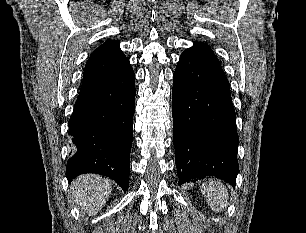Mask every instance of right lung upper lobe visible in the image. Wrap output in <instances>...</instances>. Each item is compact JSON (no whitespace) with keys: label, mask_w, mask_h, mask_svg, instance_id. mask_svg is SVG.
I'll use <instances>...</instances> for the list:
<instances>
[{"label":"right lung upper lobe","mask_w":306,"mask_h":233,"mask_svg":"<svg viewBox=\"0 0 306 233\" xmlns=\"http://www.w3.org/2000/svg\"><path fill=\"white\" fill-rule=\"evenodd\" d=\"M119 44V41H106L90 55L80 93L112 83L131 67Z\"/></svg>","instance_id":"right-lung-upper-lobe-1"}]
</instances>
